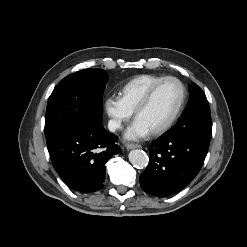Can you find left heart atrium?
Returning <instances> with one entry per match:
<instances>
[{
	"label": "left heart atrium",
	"mask_w": 247,
	"mask_h": 247,
	"mask_svg": "<svg viewBox=\"0 0 247 247\" xmlns=\"http://www.w3.org/2000/svg\"><path fill=\"white\" fill-rule=\"evenodd\" d=\"M151 132L137 119L128 127L125 137L130 140L143 139Z\"/></svg>",
	"instance_id": "left-heart-atrium-1"
}]
</instances>
